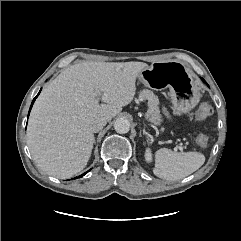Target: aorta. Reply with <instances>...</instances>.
<instances>
[{
    "label": "aorta",
    "mask_w": 241,
    "mask_h": 241,
    "mask_svg": "<svg viewBox=\"0 0 241 241\" xmlns=\"http://www.w3.org/2000/svg\"><path fill=\"white\" fill-rule=\"evenodd\" d=\"M114 129L119 134L128 133L130 130V122L126 118H118L114 123Z\"/></svg>",
    "instance_id": "1"
}]
</instances>
